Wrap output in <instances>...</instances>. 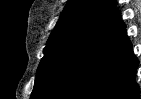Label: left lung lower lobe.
<instances>
[{
    "mask_svg": "<svg viewBox=\"0 0 141 99\" xmlns=\"http://www.w3.org/2000/svg\"><path fill=\"white\" fill-rule=\"evenodd\" d=\"M126 26L115 9L38 99H139Z\"/></svg>",
    "mask_w": 141,
    "mask_h": 99,
    "instance_id": "left-lung-lower-lobe-1",
    "label": "left lung lower lobe"
}]
</instances>
